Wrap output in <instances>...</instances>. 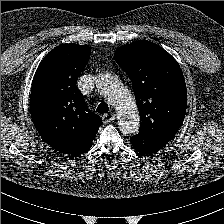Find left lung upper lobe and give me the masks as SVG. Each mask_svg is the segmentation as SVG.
I'll use <instances>...</instances> for the list:
<instances>
[{"label": "left lung upper lobe", "mask_w": 224, "mask_h": 224, "mask_svg": "<svg viewBox=\"0 0 224 224\" xmlns=\"http://www.w3.org/2000/svg\"><path fill=\"white\" fill-rule=\"evenodd\" d=\"M116 62L128 74L140 113V128L168 143L186 114L187 89L177 61L147 40L119 48Z\"/></svg>", "instance_id": "5c2ea615"}]
</instances>
